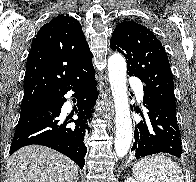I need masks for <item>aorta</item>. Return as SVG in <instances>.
Returning <instances> with one entry per match:
<instances>
[{
    "instance_id": "1",
    "label": "aorta",
    "mask_w": 196,
    "mask_h": 182,
    "mask_svg": "<svg viewBox=\"0 0 196 182\" xmlns=\"http://www.w3.org/2000/svg\"><path fill=\"white\" fill-rule=\"evenodd\" d=\"M108 75L115 104L114 147L117 156L122 158L128 153L132 142V121L126 85V62L120 54L109 57Z\"/></svg>"
}]
</instances>
